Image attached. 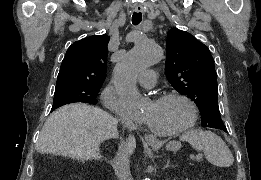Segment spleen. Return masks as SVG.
<instances>
[{
	"label": "spleen",
	"mask_w": 261,
	"mask_h": 180,
	"mask_svg": "<svg viewBox=\"0 0 261 180\" xmlns=\"http://www.w3.org/2000/svg\"><path fill=\"white\" fill-rule=\"evenodd\" d=\"M182 142H189L192 148L198 152H204V156L210 164L218 168H229L234 162L228 146L220 136L213 132H203V130H188L180 136Z\"/></svg>",
	"instance_id": "3e777b00"
}]
</instances>
